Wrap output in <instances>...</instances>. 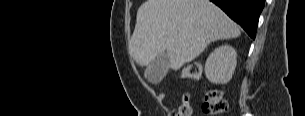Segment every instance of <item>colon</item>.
<instances>
[{"instance_id": "obj_1", "label": "colon", "mask_w": 305, "mask_h": 116, "mask_svg": "<svg viewBox=\"0 0 305 116\" xmlns=\"http://www.w3.org/2000/svg\"><path fill=\"white\" fill-rule=\"evenodd\" d=\"M203 74V68L200 63L192 62L185 66L181 72V79H200ZM228 104L223 98L222 92L218 89H210L206 93L203 104V111L211 116L223 115L228 112ZM192 113L189 97L184 93L181 97L179 110L173 116H190Z\"/></svg>"}]
</instances>
